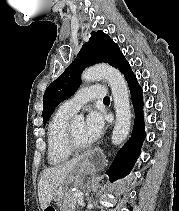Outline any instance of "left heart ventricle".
<instances>
[{
  "mask_svg": "<svg viewBox=\"0 0 179 211\" xmlns=\"http://www.w3.org/2000/svg\"><path fill=\"white\" fill-rule=\"evenodd\" d=\"M74 135L79 143L81 144H89V141L85 138L84 135V122L83 121H75L72 123Z\"/></svg>",
  "mask_w": 179,
  "mask_h": 211,
  "instance_id": "1",
  "label": "left heart ventricle"
}]
</instances>
